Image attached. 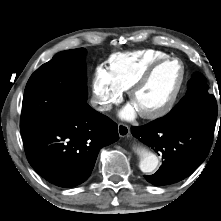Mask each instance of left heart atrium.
Returning a JSON list of instances; mask_svg holds the SVG:
<instances>
[{
	"label": "left heart atrium",
	"mask_w": 221,
	"mask_h": 221,
	"mask_svg": "<svg viewBox=\"0 0 221 221\" xmlns=\"http://www.w3.org/2000/svg\"><path fill=\"white\" fill-rule=\"evenodd\" d=\"M137 113H138L137 108L131 102L120 112V116L124 119L129 120V119H133L137 115Z\"/></svg>",
	"instance_id": "1"
}]
</instances>
